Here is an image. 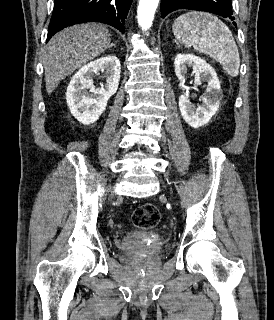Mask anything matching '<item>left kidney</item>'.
Segmentation results:
<instances>
[{
    "label": "left kidney",
    "instance_id": "obj_1",
    "mask_svg": "<svg viewBox=\"0 0 274 320\" xmlns=\"http://www.w3.org/2000/svg\"><path fill=\"white\" fill-rule=\"evenodd\" d=\"M187 66L192 68V74L195 76L194 88L200 86L202 82H207V88L205 94L201 96L202 106H197V108L189 100L188 90L191 88H186L185 94L179 98V110L183 120L191 128H201V126H206L216 114L223 94L215 70L205 60L193 54H177L175 58V74L181 84L186 82Z\"/></svg>",
    "mask_w": 274,
    "mask_h": 320
}]
</instances>
